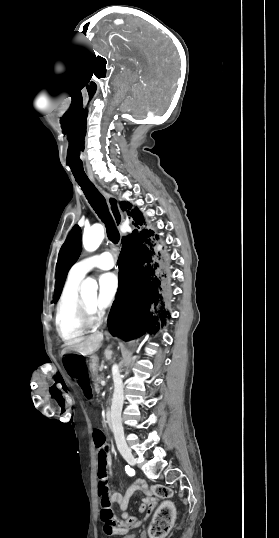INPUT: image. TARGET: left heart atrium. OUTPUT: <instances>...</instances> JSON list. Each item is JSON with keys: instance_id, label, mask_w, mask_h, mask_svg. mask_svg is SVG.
Here are the masks:
<instances>
[{"instance_id": "1", "label": "left heart atrium", "mask_w": 279, "mask_h": 538, "mask_svg": "<svg viewBox=\"0 0 279 538\" xmlns=\"http://www.w3.org/2000/svg\"><path fill=\"white\" fill-rule=\"evenodd\" d=\"M119 289V276L116 272L104 273L100 277V297L102 304H110Z\"/></svg>"}]
</instances>
